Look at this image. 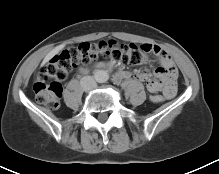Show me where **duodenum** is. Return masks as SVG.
<instances>
[{
	"mask_svg": "<svg viewBox=\"0 0 219 174\" xmlns=\"http://www.w3.org/2000/svg\"><path fill=\"white\" fill-rule=\"evenodd\" d=\"M96 67L99 68V69H103V68L106 67V65H104V64H99V65H97ZM83 72H84V71H83Z\"/></svg>",
	"mask_w": 219,
	"mask_h": 174,
	"instance_id": "410a0bca",
	"label": "duodenum"
}]
</instances>
